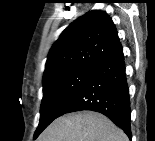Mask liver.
<instances>
[{"label":"liver","mask_w":155,"mask_h":141,"mask_svg":"<svg viewBox=\"0 0 155 141\" xmlns=\"http://www.w3.org/2000/svg\"><path fill=\"white\" fill-rule=\"evenodd\" d=\"M40 141H128L126 134L100 113H69L54 120Z\"/></svg>","instance_id":"1"}]
</instances>
